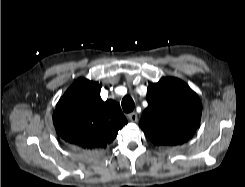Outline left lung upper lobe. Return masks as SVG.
<instances>
[{
  "label": "left lung upper lobe",
  "mask_w": 245,
  "mask_h": 187,
  "mask_svg": "<svg viewBox=\"0 0 245 187\" xmlns=\"http://www.w3.org/2000/svg\"><path fill=\"white\" fill-rule=\"evenodd\" d=\"M147 101L139 125L155 145H181L194 135L202 106L183 81L162 78L148 87Z\"/></svg>",
  "instance_id": "left-lung-upper-lobe-1"
}]
</instances>
